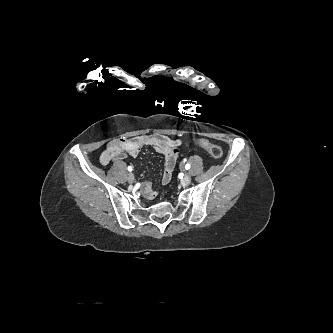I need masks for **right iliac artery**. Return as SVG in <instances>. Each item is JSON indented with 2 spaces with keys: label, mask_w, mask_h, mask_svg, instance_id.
<instances>
[{
  "label": "right iliac artery",
  "mask_w": 333,
  "mask_h": 333,
  "mask_svg": "<svg viewBox=\"0 0 333 333\" xmlns=\"http://www.w3.org/2000/svg\"><path fill=\"white\" fill-rule=\"evenodd\" d=\"M132 167L131 166H128V171H132Z\"/></svg>",
  "instance_id": "1"
}]
</instances>
